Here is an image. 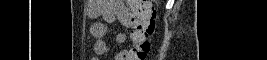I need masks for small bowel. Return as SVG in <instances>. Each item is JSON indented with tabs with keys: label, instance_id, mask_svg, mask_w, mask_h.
<instances>
[{
	"label": "small bowel",
	"instance_id": "small-bowel-1",
	"mask_svg": "<svg viewBox=\"0 0 267 60\" xmlns=\"http://www.w3.org/2000/svg\"><path fill=\"white\" fill-rule=\"evenodd\" d=\"M88 15L90 18H101L99 21L92 23L90 27V33L94 38V51L96 55H105L109 52V48L106 43L107 35V23L119 21L126 27L133 28L132 16L126 5L122 0H90L88 2ZM131 39L134 42L136 40V33L132 30ZM127 40L125 33H119L116 36V42L118 44H124ZM132 48L124 49L118 52L116 60H133ZM94 57L93 60H97Z\"/></svg>",
	"mask_w": 267,
	"mask_h": 60
}]
</instances>
